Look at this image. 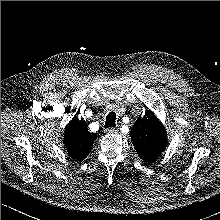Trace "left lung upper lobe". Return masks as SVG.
<instances>
[{
  "label": "left lung upper lobe",
  "instance_id": "5c2ea615",
  "mask_svg": "<svg viewBox=\"0 0 220 220\" xmlns=\"http://www.w3.org/2000/svg\"><path fill=\"white\" fill-rule=\"evenodd\" d=\"M130 136L136 152L143 160L150 162L156 159L165 150L167 133L163 124L152 111H147L143 118L135 122Z\"/></svg>",
  "mask_w": 220,
  "mask_h": 220
}]
</instances>
